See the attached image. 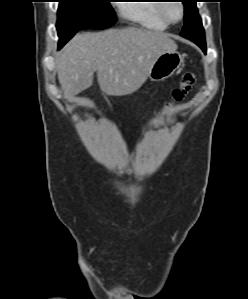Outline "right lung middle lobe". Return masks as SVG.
Listing matches in <instances>:
<instances>
[{
	"label": "right lung middle lobe",
	"instance_id": "right-lung-middle-lobe-1",
	"mask_svg": "<svg viewBox=\"0 0 248 299\" xmlns=\"http://www.w3.org/2000/svg\"><path fill=\"white\" fill-rule=\"evenodd\" d=\"M110 0H59L57 31L61 48L81 29H105L116 21Z\"/></svg>",
	"mask_w": 248,
	"mask_h": 299
}]
</instances>
